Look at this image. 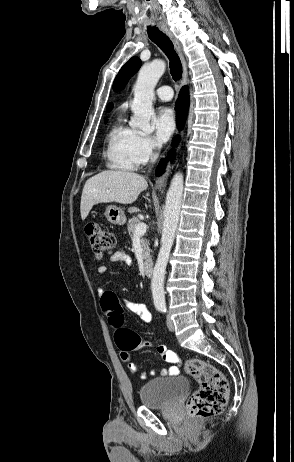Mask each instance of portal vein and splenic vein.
Returning <instances> with one entry per match:
<instances>
[{
    "label": "portal vein and splenic vein",
    "instance_id": "1",
    "mask_svg": "<svg viewBox=\"0 0 294 462\" xmlns=\"http://www.w3.org/2000/svg\"><path fill=\"white\" fill-rule=\"evenodd\" d=\"M146 230H147V225L144 222H140L135 228V235L141 236L145 234Z\"/></svg>",
    "mask_w": 294,
    "mask_h": 462
}]
</instances>
